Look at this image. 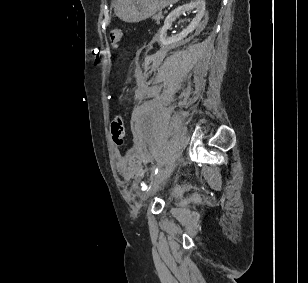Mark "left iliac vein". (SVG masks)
<instances>
[{
  "label": "left iliac vein",
  "mask_w": 308,
  "mask_h": 283,
  "mask_svg": "<svg viewBox=\"0 0 308 283\" xmlns=\"http://www.w3.org/2000/svg\"><path fill=\"white\" fill-rule=\"evenodd\" d=\"M174 169L173 165H168L165 169L161 170L157 176L152 180L148 190L144 194V198H149L153 196L159 188L162 186V184L165 182V180L170 176Z\"/></svg>",
  "instance_id": "obj_1"
}]
</instances>
